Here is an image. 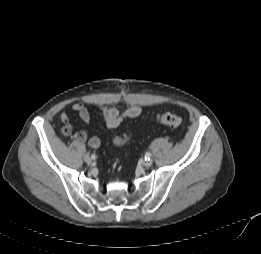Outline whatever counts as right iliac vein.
Segmentation results:
<instances>
[{
	"label": "right iliac vein",
	"mask_w": 261,
	"mask_h": 254,
	"mask_svg": "<svg viewBox=\"0 0 261 254\" xmlns=\"http://www.w3.org/2000/svg\"><path fill=\"white\" fill-rule=\"evenodd\" d=\"M84 161L88 164H90L92 162V158L89 155H85L84 156Z\"/></svg>",
	"instance_id": "63e3f726"
}]
</instances>
